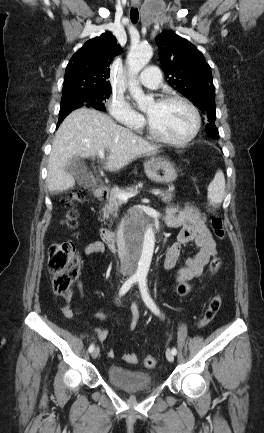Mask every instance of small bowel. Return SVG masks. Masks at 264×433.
<instances>
[{
    "label": "small bowel",
    "mask_w": 264,
    "mask_h": 433,
    "mask_svg": "<svg viewBox=\"0 0 264 433\" xmlns=\"http://www.w3.org/2000/svg\"><path fill=\"white\" fill-rule=\"evenodd\" d=\"M166 222L172 227H181V231L176 242L171 245L165 254L163 267L167 270L175 269L181 257L183 249L189 245H194L197 248V253L186 260L184 267L178 268L176 271V283L188 282L199 277L210 258L216 255V244L213 240L209 229L206 226V218L194 205L185 204L182 208H169L166 211ZM105 251L104 244L100 240H95L88 244L85 249V255L102 254ZM77 288L79 298L84 296L82 281L77 280ZM71 295L69 294L62 307V313L68 319L73 318L79 311L77 308L72 309L69 305ZM139 321L137 314L133 317V324ZM94 334L98 341L104 342L108 336L106 328H98L94 330ZM110 357H114L113 350L108 352ZM123 359L129 363H137L138 358L134 354H127Z\"/></svg>",
    "instance_id": "1"
}]
</instances>
